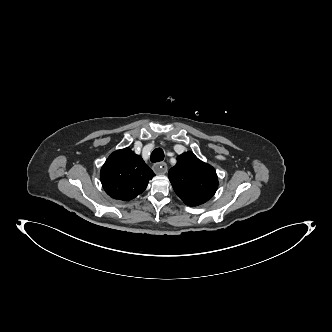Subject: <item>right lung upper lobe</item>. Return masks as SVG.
<instances>
[{"label":"right lung upper lobe","mask_w":332,"mask_h":332,"mask_svg":"<svg viewBox=\"0 0 332 332\" xmlns=\"http://www.w3.org/2000/svg\"><path fill=\"white\" fill-rule=\"evenodd\" d=\"M153 176V171L141 156L129 148L113 152L100 172L105 192L113 199L122 201H129L141 194Z\"/></svg>","instance_id":"1"}]
</instances>
